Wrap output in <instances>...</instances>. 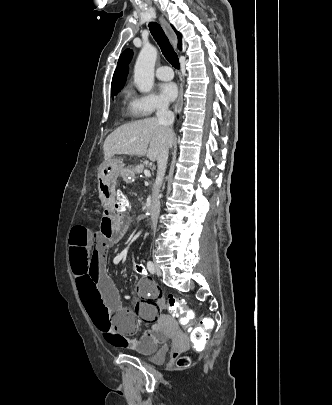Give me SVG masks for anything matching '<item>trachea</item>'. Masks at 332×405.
<instances>
[{
	"instance_id": "obj_1",
	"label": "trachea",
	"mask_w": 332,
	"mask_h": 405,
	"mask_svg": "<svg viewBox=\"0 0 332 405\" xmlns=\"http://www.w3.org/2000/svg\"><path fill=\"white\" fill-rule=\"evenodd\" d=\"M149 29H150V32H151L153 38L159 45L164 57L169 61V63L174 68L179 69L180 64H179L178 56H177L176 52L174 51L172 45L170 44V42H169L167 36L165 35L163 29L161 28V26L159 24H157L156 22H150Z\"/></svg>"
}]
</instances>
